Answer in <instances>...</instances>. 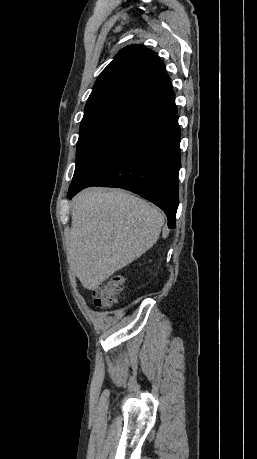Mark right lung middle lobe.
Instances as JSON below:
<instances>
[{
	"label": "right lung middle lobe",
	"instance_id": "obj_1",
	"mask_svg": "<svg viewBox=\"0 0 257 459\" xmlns=\"http://www.w3.org/2000/svg\"><path fill=\"white\" fill-rule=\"evenodd\" d=\"M135 113L127 108L114 107L84 114L77 142L74 175L108 145L122 124Z\"/></svg>",
	"mask_w": 257,
	"mask_h": 459
}]
</instances>
